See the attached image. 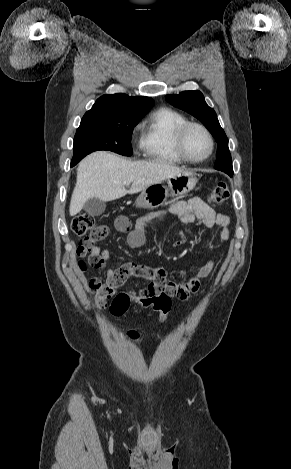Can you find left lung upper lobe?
Masks as SVG:
<instances>
[{
    "instance_id": "1",
    "label": "left lung upper lobe",
    "mask_w": 291,
    "mask_h": 469,
    "mask_svg": "<svg viewBox=\"0 0 291 469\" xmlns=\"http://www.w3.org/2000/svg\"><path fill=\"white\" fill-rule=\"evenodd\" d=\"M165 99L171 105L196 117L211 132L218 143L217 159L214 167L232 177L233 167L228 148V138L219 124L215 111L205 102L203 94L198 90L183 91L178 95H166Z\"/></svg>"
}]
</instances>
